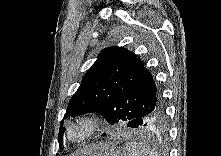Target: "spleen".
<instances>
[{
  "label": "spleen",
  "instance_id": "1",
  "mask_svg": "<svg viewBox=\"0 0 221 156\" xmlns=\"http://www.w3.org/2000/svg\"><path fill=\"white\" fill-rule=\"evenodd\" d=\"M127 156H157V152L142 142L126 143L124 146Z\"/></svg>",
  "mask_w": 221,
  "mask_h": 156
}]
</instances>
